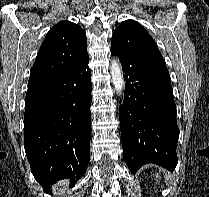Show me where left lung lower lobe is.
Wrapping results in <instances>:
<instances>
[{"label": "left lung lower lobe", "instance_id": "obj_1", "mask_svg": "<svg viewBox=\"0 0 209 197\" xmlns=\"http://www.w3.org/2000/svg\"><path fill=\"white\" fill-rule=\"evenodd\" d=\"M111 53L119 56L126 80L119 112L125 162L133 174L147 163L173 171L179 129L166 65L112 47Z\"/></svg>", "mask_w": 209, "mask_h": 197}]
</instances>
